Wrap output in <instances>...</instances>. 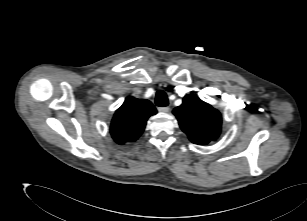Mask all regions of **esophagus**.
Returning <instances> with one entry per match:
<instances>
[{"instance_id":"1","label":"esophagus","mask_w":307,"mask_h":221,"mask_svg":"<svg viewBox=\"0 0 307 221\" xmlns=\"http://www.w3.org/2000/svg\"><path fill=\"white\" fill-rule=\"evenodd\" d=\"M158 111L162 112V113H168L170 111V108L168 106H166V107H159Z\"/></svg>"}]
</instances>
